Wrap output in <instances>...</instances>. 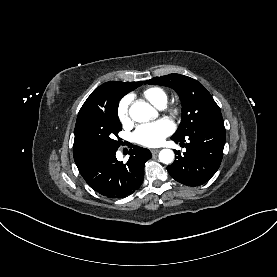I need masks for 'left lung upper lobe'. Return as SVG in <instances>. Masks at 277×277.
<instances>
[{
	"label": "left lung upper lobe",
	"instance_id": "1",
	"mask_svg": "<svg viewBox=\"0 0 277 277\" xmlns=\"http://www.w3.org/2000/svg\"><path fill=\"white\" fill-rule=\"evenodd\" d=\"M174 89L180 96L183 112L179 128L171 137L184 139L201 124L222 118L220 109L211 94L197 80L181 74H169L145 81Z\"/></svg>",
	"mask_w": 277,
	"mask_h": 277
}]
</instances>
